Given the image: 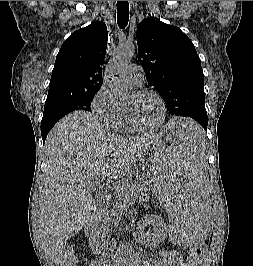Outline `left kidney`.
I'll list each match as a JSON object with an SVG mask.
<instances>
[{
    "label": "left kidney",
    "mask_w": 253,
    "mask_h": 266,
    "mask_svg": "<svg viewBox=\"0 0 253 266\" xmlns=\"http://www.w3.org/2000/svg\"><path fill=\"white\" fill-rule=\"evenodd\" d=\"M149 225L152 228L147 231L146 227ZM167 232L164 220L157 215H145L137 224L138 238L147 247H156L163 242Z\"/></svg>",
    "instance_id": "obj_1"
}]
</instances>
